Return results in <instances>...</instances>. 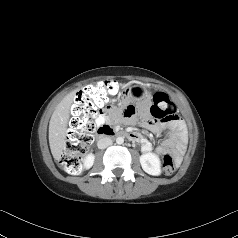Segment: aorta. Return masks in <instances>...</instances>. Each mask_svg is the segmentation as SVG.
I'll list each match as a JSON object with an SVG mask.
<instances>
[{"label": "aorta", "mask_w": 238, "mask_h": 238, "mask_svg": "<svg viewBox=\"0 0 238 238\" xmlns=\"http://www.w3.org/2000/svg\"><path fill=\"white\" fill-rule=\"evenodd\" d=\"M116 143L119 144V145L123 144L124 143V138L123 137H117L116 138Z\"/></svg>", "instance_id": "aorta-1"}]
</instances>
